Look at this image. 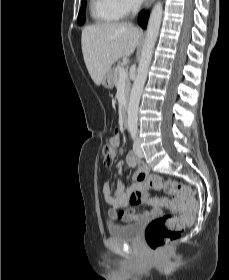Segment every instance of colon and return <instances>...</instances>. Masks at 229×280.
I'll list each match as a JSON object with an SVG mask.
<instances>
[{
	"mask_svg": "<svg viewBox=\"0 0 229 280\" xmlns=\"http://www.w3.org/2000/svg\"><path fill=\"white\" fill-rule=\"evenodd\" d=\"M104 163L110 166L115 158L114 148L107 144L103 147ZM139 182H147L153 188H162L172 196L178 204L180 214H167L153 219L145 230V240L149 249L158 253L171 241L175 240L190 223L198 209V202L192 188L175 180H164L158 175L140 174ZM141 193H135L131 197L132 203L140 204Z\"/></svg>",
	"mask_w": 229,
	"mask_h": 280,
	"instance_id": "obj_1",
	"label": "colon"
}]
</instances>
